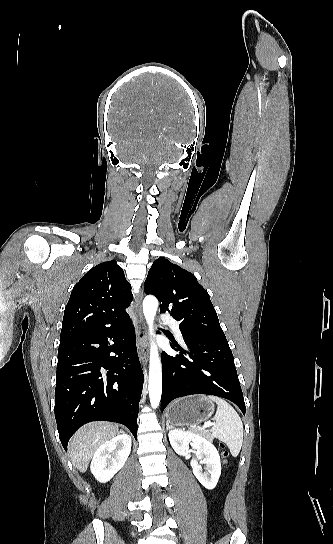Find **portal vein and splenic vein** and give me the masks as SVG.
I'll use <instances>...</instances> for the list:
<instances>
[{
	"instance_id": "1",
	"label": "portal vein and splenic vein",
	"mask_w": 333,
	"mask_h": 544,
	"mask_svg": "<svg viewBox=\"0 0 333 544\" xmlns=\"http://www.w3.org/2000/svg\"><path fill=\"white\" fill-rule=\"evenodd\" d=\"M212 425L210 422H206L203 427L200 428V430H204L206 427Z\"/></svg>"
}]
</instances>
